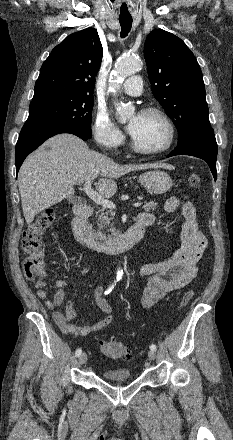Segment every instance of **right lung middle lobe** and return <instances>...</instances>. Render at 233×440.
I'll list each match as a JSON object with an SVG mask.
<instances>
[{
  "mask_svg": "<svg viewBox=\"0 0 233 440\" xmlns=\"http://www.w3.org/2000/svg\"><path fill=\"white\" fill-rule=\"evenodd\" d=\"M92 109L93 97L51 98L30 103L27 121L70 125L91 138Z\"/></svg>",
  "mask_w": 233,
  "mask_h": 440,
  "instance_id": "obj_1",
  "label": "right lung middle lobe"
}]
</instances>
